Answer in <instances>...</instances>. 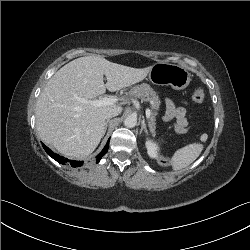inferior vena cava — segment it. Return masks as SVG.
I'll use <instances>...</instances> for the list:
<instances>
[{
    "label": "inferior vena cava",
    "instance_id": "602c4592",
    "mask_svg": "<svg viewBox=\"0 0 250 250\" xmlns=\"http://www.w3.org/2000/svg\"><path fill=\"white\" fill-rule=\"evenodd\" d=\"M121 111L122 109L120 107L112 108L105 114V118L110 119L112 117L118 116L121 113Z\"/></svg>",
    "mask_w": 250,
    "mask_h": 250
}]
</instances>
